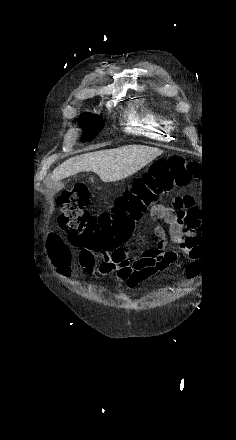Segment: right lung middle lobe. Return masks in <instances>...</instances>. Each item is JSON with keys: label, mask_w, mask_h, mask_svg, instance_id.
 <instances>
[{"label": "right lung middle lobe", "mask_w": 236, "mask_h": 440, "mask_svg": "<svg viewBox=\"0 0 236 440\" xmlns=\"http://www.w3.org/2000/svg\"><path fill=\"white\" fill-rule=\"evenodd\" d=\"M80 125L84 129L83 142H88L103 128L104 121L98 115L86 113L79 118Z\"/></svg>", "instance_id": "1"}]
</instances>
